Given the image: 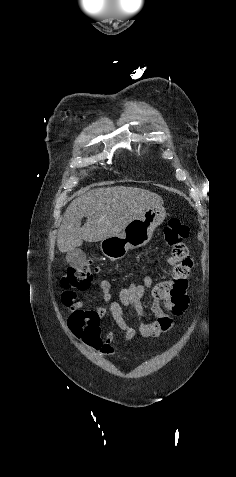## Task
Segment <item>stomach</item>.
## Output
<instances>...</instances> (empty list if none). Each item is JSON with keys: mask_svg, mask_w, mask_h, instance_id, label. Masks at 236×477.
Here are the masks:
<instances>
[{"mask_svg": "<svg viewBox=\"0 0 236 477\" xmlns=\"http://www.w3.org/2000/svg\"><path fill=\"white\" fill-rule=\"evenodd\" d=\"M166 217L163 207H154L143 215L131 221L117 236L108 237L101 241L100 249L110 260L123 258L130 249H136L148 244L153 232Z\"/></svg>", "mask_w": 236, "mask_h": 477, "instance_id": "obj_1", "label": "stomach"}]
</instances>
